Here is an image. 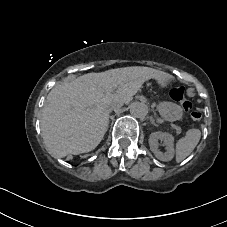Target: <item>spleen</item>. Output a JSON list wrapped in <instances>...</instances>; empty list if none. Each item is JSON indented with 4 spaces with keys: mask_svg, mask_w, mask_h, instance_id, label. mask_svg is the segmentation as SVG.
I'll return each mask as SVG.
<instances>
[{
    "mask_svg": "<svg viewBox=\"0 0 227 227\" xmlns=\"http://www.w3.org/2000/svg\"><path fill=\"white\" fill-rule=\"evenodd\" d=\"M200 138L201 131L199 129H189L185 137L176 143V162L180 163L189 156L199 143Z\"/></svg>",
    "mask_w": 227,
    "mask_h": 227,
    "instance_id": "1",
    "label": "spleen"
}]
</instances>
